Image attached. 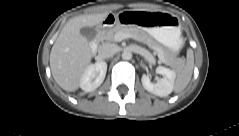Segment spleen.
Segmentation results:
<instances>
[{
	"label": "spleen",
	"mask_w": 239,
	"mask_h": 136,
	"mask_svg": "<svg viewBox=\"0 0 239 136\" xmlns=\"http://www.w3.org/2000/svg\"><path fill=\"white\" fill-rule=\"evenodd\" d=\"M194 68V56L191 50L187 54V62L185 68L178 74L175 82V92L179 93L183 91L189 84Z\"/></svg>",
	"instance_id": "1"
}]
</instances>
